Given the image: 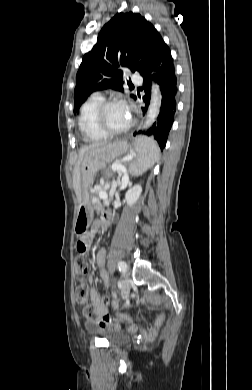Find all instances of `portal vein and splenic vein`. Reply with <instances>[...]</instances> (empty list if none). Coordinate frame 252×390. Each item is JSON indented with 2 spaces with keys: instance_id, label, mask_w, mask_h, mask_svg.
I'll list each match as a JSON object with an SVG mask.
<instances>
[{
  "instance_id": "obj_1",
  "label": "portal vein and splenic vein",
  "mask_w": 252,
  "mask_h": 390,
  "mask_svg": "<svg viewBox=\"0 0 252 390\" xmlns=\"http://www.w3.org/2000/svg\"><path fill=\"white\" fill-rule=\"evenodd\" d=\"M131 159H132V157H125L121 161H129ZM112 170L113 171H117V172H124V173H126V168L122 164H120L118 162H114L112 164ZM124 179H127V178H124ZM107 187H109L108 184H107ZM115 187H116V184L112 185V188H115ZM100 197L106 198L107 194L106 193H101Z\"/></svg>"
}]
</instances>
